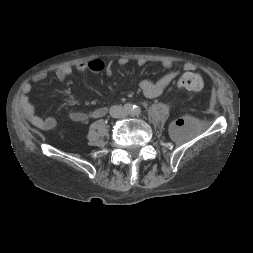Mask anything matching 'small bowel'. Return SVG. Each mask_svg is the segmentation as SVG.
<instances>
[{
  "mask_svg": "<svg viewBox=\"0 0 253 253\" xmlns=\"http://www.w3.org/2000/svg\"><path fill=\"white\" fill-rule=\"evenodd\" d=\"M118 65L124 66L129 63V59L127 57H120L117 60ZM147 63V60L145 58H139L137 59V64L139 66H144ZM161 65L169 69L172 67L173 62L169 59H165L161 61ZM184 70L190 71L194 70L195 67L191 63H186L184 65ZM76 70L77 72H85L87 70H90L89 68V62L81 61L75 64L74 68L72 66H63L56 70L55 77L58 81H64L69 75L72 74L73 70ZM91 71V70H90ZM105 72L107 75H112V68L110 65H107L105 67ZM180 76L179 71H169L165 73L163 76H161L156 81H150V80H143L140 83V89L142 93L148 97V98H155L160 96L164 90L169 86L171 83H173L178 77ZM46 78L45 73L37 74L34 77L35 82H40ZM32 87L30 84H25L22 88L21 95H20V106L21 109L25 115V118L27 121L35 126L36 128L43 130V131H49L53 129L56 126V120L52 116H46L43 117L39 115L32 104L30 100V93H31ZM107 113L106 107H98L90 112L81 111V110H74L71 111L69 114V117L74 122L83 123L90 119H98Z\"/></svg>",
  "mask_w": 253,
  "mask_h": 253,
  "instance_id": "small-bowel-1",
  "label": "small bowel"
}]
</instances>
